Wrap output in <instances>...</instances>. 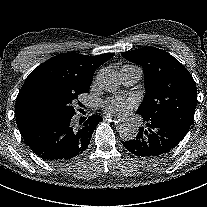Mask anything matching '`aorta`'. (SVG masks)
Segmentation results:
<instances>
[{
  "instance_id": "762f6f07",
  "label": "aorta",
  "mask_w": 207,
  "mask_h": 207,
  "mask_svg": "<svg viewBox=\"0 0 207 207\" xmlns=\"http://www.w3.org/2000/svg\"><path fill=\"white\" fill-rule=\"evenodd\" d=\"M97 82L107 92L116 91L121 84L119 74L110 68H102L99 70ZM118 132L122 140L130 141L137 136L138 128L134 124L126 122L119 127Z\"/></svg>"
}]
</instances>
